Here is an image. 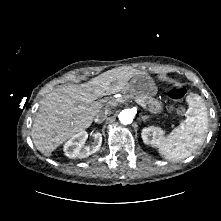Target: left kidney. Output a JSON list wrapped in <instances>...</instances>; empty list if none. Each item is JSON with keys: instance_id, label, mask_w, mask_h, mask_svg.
Instances as JSON below:
<instances>
[{"instance_id": "left-kidney-1", "label": "left kidney", "mask_w": 221, "mask_h": 221, "mask_svg": "<svg viewBox=\"0 0 221 221\" xmlns=\"http://www.w3.org/2000/svg\"><path fill=\"white\" fill-rule=\"evenodd\" d=\"M163 134L164 132L161 128L150 126L142 130L141 136L145 144L158 146L163 139Z\"/></svg>"}]
</instances>
